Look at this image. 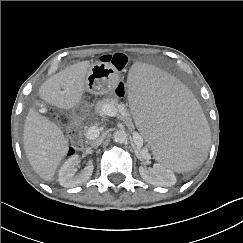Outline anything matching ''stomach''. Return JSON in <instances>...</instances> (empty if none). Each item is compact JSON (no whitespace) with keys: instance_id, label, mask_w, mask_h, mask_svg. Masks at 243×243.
<instances>
[{"instance_id":"obj_1","label":"stomach","mask_w":243,"mask_h":243,"mask_svg":"<svg viewBox=\"0 0 243 243\" xmlns=\"http://www.w3.org/2000/svg\"><path fill=\"white\" fill-rule=\"evenodd\" d=\"M118 73L110 64L96 62L87 70L85 91L95 95L112 93L118 83ZM79 104L76 108L79 109Z\"/></svg>"}]
</instances>
